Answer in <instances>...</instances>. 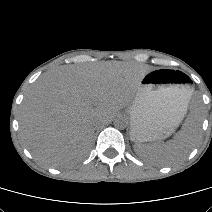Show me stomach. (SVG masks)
I'll use <instances>...</instances> for the list:
<instances>
[{
    "label": "stomach",
    "instance_id": "obj_1",
    "mask_svg": "<svg viewBox=\"0 0 212 212\" xmlns=\"http://www.w3.org/2000/svg\"><path fill=\"white\" fill-rule=\"evenodd\" d=\"M189 78L169 69L149 71L130 107L131 139L136 143L168 137L186 114L193 92Z\"/></svg>",
    "mask_w": 212,
    "mask_h": 212
}]
</instances>
